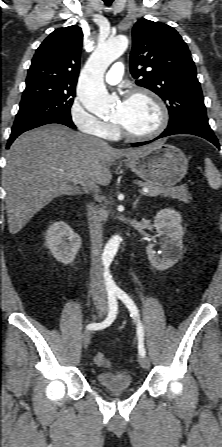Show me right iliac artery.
Returning <instances> with one entry per match:
<instances>
[{
  "label": "right iliac artery",
  "instance_id": "obj_1",
  "mask_svg": "<svg viewBox=\"0 0 222 447\" xmlns=\"http://www.w3.org/2000/svg\"><path fill=\"white\" fill-rule=\"evenodd\" d=\"M108 304H109V313L107 318L101 323H92L87 325V329L90 330L104 329L114 321L118 310L116 295L114 293H108Z\"/></svg>",
  "mask_w": 222,
  "mask_h": 447
}]
</instances>
